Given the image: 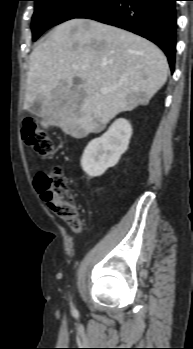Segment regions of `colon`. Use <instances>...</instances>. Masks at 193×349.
<instances>
[{"mask_svg":"<svg viewBox=\"0 0 193 349\" xmlns=\"http://www.w3.org/2000/svg\"><path fill=\"white\" fill-rule=\"evenodd\" d=\"M22 138L36 153L44 159L54 156L55 146L51 137L30 116L22 121ZM35 186L49 208L73 231L81 227L76 201L72 195L61 167H54L49 172L36 176Z\"/></svg>","mask_w":193,"mask_h":349,"instance_id":"colon-1","label":"colon"}]
</instances>
